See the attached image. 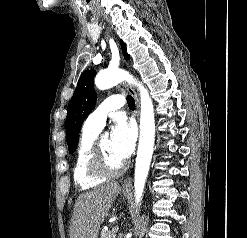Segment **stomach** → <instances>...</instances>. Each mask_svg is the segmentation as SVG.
Segmentation results:
<instances>
[{
    "mask_svg": "<svg viewBox=\"0 0 247 238\" xmlns=\"http://www.w3.org/2000/svg\"><path fill=\"white\" fill-rule=\"evenodd\" d=\"M123 195H124V196H127V195H128V191L123 190Z\"/></svg>",
    "mask_w": 247,
    "mask_h": 238,
    "instance_id": "1",
    "label": "stomach"
}]
</instances>
